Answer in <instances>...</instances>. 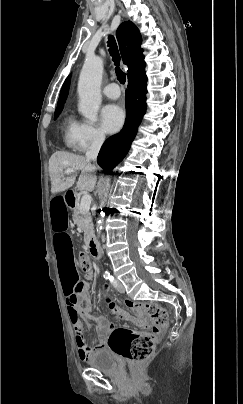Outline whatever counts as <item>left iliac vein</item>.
Listing matches in <instances>:
<instances>
[{
    "mask_svg": "<svg viewBox=\"0 0 243 404\" xmlns=\"http://www.w3.org/2000/svg\"><path fill=\"white\" fill-rule=\"evenodd\" d=\"M116 288L120 293L125 292V287L120 281H116Z\"/></svg>",
    "mask_w": 243,
    "mask_h": 404,
    "instance_id": "4c4485c4",
    "label": "left iliac vein"
}]
</instances>
